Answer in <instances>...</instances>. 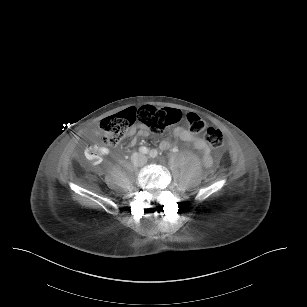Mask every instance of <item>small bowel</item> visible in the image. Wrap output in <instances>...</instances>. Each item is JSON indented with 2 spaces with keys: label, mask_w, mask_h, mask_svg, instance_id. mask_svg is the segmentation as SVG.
<instances>
[{
  "label": "small bowel",
  "mask_w": 307,
  "mask_h": 307,
  "mask_svg": "<svg viewBox=\"0 0 307 307\" xmlns=\"http://www.w3.org/2000/svg\"><path fill=\"white\" fill-rule=\"evenodd\" d=\"M146 108V107H145ZM95 134H99L98 131H94ZM129 134H136V137H145L148 135V130L145 127L139 129H131ZM173 135L175 138L191 143L196 149L200 150L202 153V158L206 166H210L212 163L211 150L205 140L200 136L192 133L191 131L177 127L173 130ZM135 143V139L132 141V145ZM170 147V143L166 140L160 143V148L162 150H167ZM109 149L102 145H88L84 150L85 158L92 164H100L105 155H107Z\"/></svg>",
  "instance_id": "obj_1"
}]
</instances>
